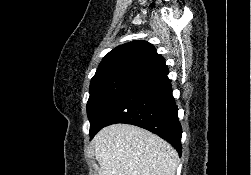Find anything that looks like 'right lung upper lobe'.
Masks as SVG:
<instances>
[{
	"instance_id": "obj_1",
	"label": "right lung upper lobe",
	"mask_w": 251,
	"mask_h": 175,
	"mask_svg": "<svg viewBox=\"0 0 251 175\" xmlns=\"http://www.w3.org/2000/svg\"><path fill=\"white\" fill-rule=\"evenodd\" d=\"M168 72L164 58L147 41H132L110 51L101 61L91 82L116 76L138 80Z\"/></svg>"
}]
</instances>
